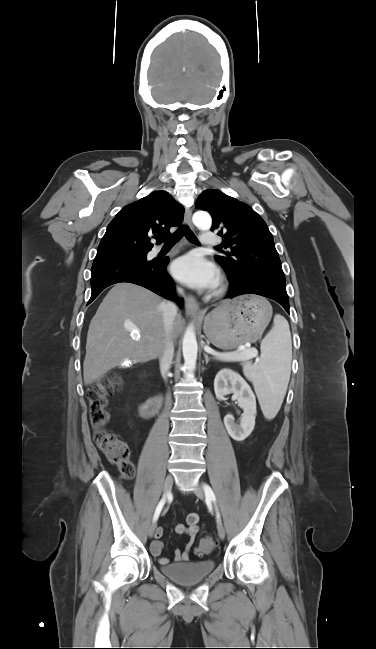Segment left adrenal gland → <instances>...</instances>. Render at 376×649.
<instances>
[{
  "instance_id": "a2214340",
  "label": "left adrenal gland",
  "mask_w": 376,
  "mask_h": 649,
  "mask_svg": "<svg viewBox=\"0 0 376 649\" xmlns=\"http://www.w3.org/2000/svg\"><path fill=\"white\" fill-rule=\"evenodd\" d=\"M204 357H205V362H206V364H208L210 358L208 357V355H207L206 353H204Z\"/></svg>"
}]
</instances>
